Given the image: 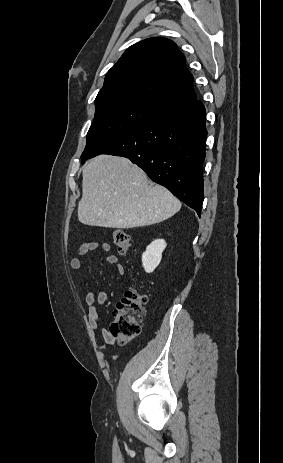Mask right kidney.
I'll use <instances>...</instances> for the list:
<instances>
[{
	"label": "right kidney",
	"instance_id": "1",
	"mask_svg": "<svg viewBox=\"0 0 283 463\" xmlns=\"http://www.w3.org/2000/svg\"><path fill=\"white\" fill-rule=\"evenodd\" d=\"M166 247L163 239H157L151 242L142 255V264L147 273H151L159 265L162 259V252Z\"/></svg>",
	"mask_w": 283,
	"mask_h": 463
}]
</instances>
